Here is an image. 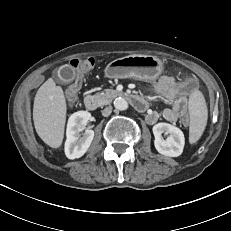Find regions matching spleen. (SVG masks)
<instances>
[{
  "label": "spleen",
  "instance_id": "spleen-1",
  "mask_svg": "<svg viewBox=\"0 0 231 231\" xmlns=\"http://www.w3.org/2000/svg\"><path fill=\"white\" fill-rule=\"evenodd\" d=\"M189 141L197 142L203 134L207 124V106L205 99L200 91H194L189 98Z\"/></svg>",
  "mask_w": 231,
  "mask_h": 231
}]
</instances>
